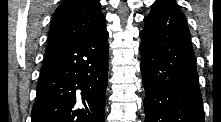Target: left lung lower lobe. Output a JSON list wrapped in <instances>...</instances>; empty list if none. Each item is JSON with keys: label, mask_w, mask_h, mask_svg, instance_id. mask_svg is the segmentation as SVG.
Listing matches in <instances>:
<instances>
[{"label": "left lung lower lobe", "mask_w": 221, "mask_h": 122, "mask_svg": "<svg viewBox=\"0 0 221 122\" xmlns=\"http://www.w3.org/2000/svg\"><path fill=\"white\" fill-rule=\"evenodd\" d=\"M144 22L140 69L145 122H204L196 58L184 14L173 0H157Z\"/></svg>", "instance_id": "1"}]
</instances>
